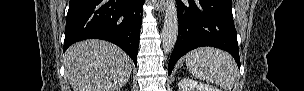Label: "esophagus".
Listing matches in <instances>:
<instances>
[{
    "instance_id": "34e87169",
    "label": "esophagus",
    "mask_w": 304,
    "mask_h": 91,
    "mask_svg": "<svg viewBox=\"0 0 304 91\" xmlns=\"http://www.w3.org/2000/svg\"><path fill=\"white\" fill-rule=\"evenodd\" d=\"M155 2L158 5L160 11L163 12L166 7V0H155Z\"/></svg>"
}]
</instances>
